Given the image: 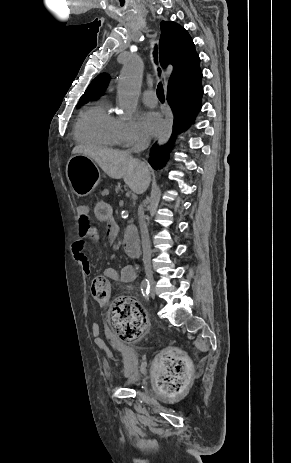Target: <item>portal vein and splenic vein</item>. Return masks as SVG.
<instances>
[{
    "label": "portal vein and splenic vein",
    "instance_id": "1",
    "mask_svg": "<svg viewBox=\"0 0 291 463\" xmlns=\"http://www.w3.org/2000/svg\"><path fill=\"white\" fill-rule=\"evenodd\" d=\"M119 204H120V206H122L124 203H123V201H121Z\"/></svg>",
    "mask_w": 291,
    "mask_h": 463
}]
</instances>
